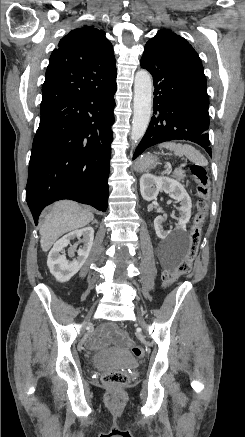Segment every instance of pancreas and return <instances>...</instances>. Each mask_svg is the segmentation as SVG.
<instances>
[{
    "instance_id": "1",
    "label": "pancreas",
    "mask_w": 245,
    "mask_h": 437,
    "mask_svg": "<svg viewBox=\"0 0 245 437\" xmlns=\"http://www.w3.org/2000/svg\"><path fill=\"white\" fill-rule=\"evenodd\" d=\"M173 177L179 181H183L185 177V171L182 169L175 170L173 173Z\"/></svg>"
}]
</instances>
